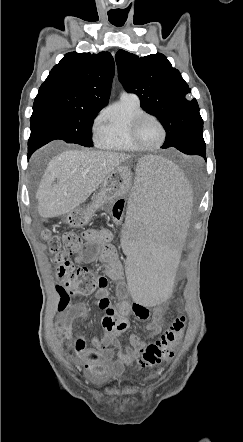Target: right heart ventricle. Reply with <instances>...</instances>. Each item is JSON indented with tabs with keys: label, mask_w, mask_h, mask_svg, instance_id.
I'll return each instance as SVG.
<instances>
[{
	"label": "right heart ventricle",
	"mask_w": 243,
	"mask_h": 442,
	"mask_svg": "<svg viewBox=\"0 0 243 442\" xmlns=\"http://www.w3.org/2000/svg\"><path fill=\"white\" fill-rule=\"evenodd\" d=\"M144 112L137 97L120 98L104 113L94 132L97 145L108 150L140 151L130 138V126L134 118Z\"/></svg>",
	"instance_id": "e07e8e85"
}]
</instances>
